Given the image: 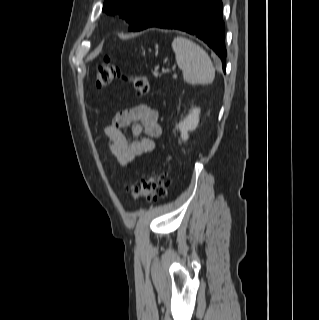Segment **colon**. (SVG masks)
<instances>
[{
	"instance_id": "colon-1",
	"label": "colon",
	"mask_w": 319,
	"mask_h": 320,
	"mask_svg": "<svg viewBox=\"0 0 319 320\" xmlns=\"http://www.w3.org/2000/svg\"><path fill=\"white\" fill-rule=\"evenodd\" d=\"M118 77H120L119 68L109 59H105L103 63L98 65L95 84L98 88L106 87ZM125 79L132 84L139 95H145L150 90L149 80L145 75H130ZM169 184L170 175L168 172L151 173L136 182L130 189V194L133 198H165Z\"/></svg>"
}]
</instances>
